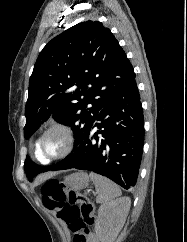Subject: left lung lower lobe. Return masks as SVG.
Segmentation results:
<instances>
[{"label": "left lung lower lobe", "mask_w": 187, "mask_h": 242, "mask_svg": "<svg viewBox=\"0 0 187 242\" xmlns=\"http://www.w3.org/2000/svg\"><path fill=\"white\" fill-rule=\"evenodd\" d=\"M143 144L144 116L134 78L100 110L78 147L50 170H88L129 189L137 182Z\"/></svg>", "instance_id": "1"}]
</instances>
